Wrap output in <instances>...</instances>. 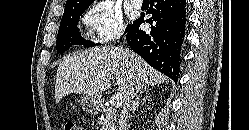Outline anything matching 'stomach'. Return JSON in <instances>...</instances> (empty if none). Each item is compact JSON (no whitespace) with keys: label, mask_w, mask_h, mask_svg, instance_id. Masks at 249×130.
I'll return each mask as SVG.
<instances>
[{"label":"stomach","mask_w":249,"mask_h":130,"mask_svg":"<svg viewBox=\"0 0 249 130\" xmlns=\"http://www.w3.org/2000/svg\"><path fill=\"white\" fill-rule=\"evenodd\" d=\"M80 104L84 111L96 114L100 108V99L97 96L85 95L81 98Z\"/></svg>","instance_id":"0dacf381"}]
</instances>
